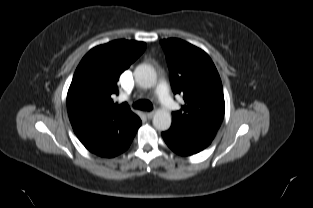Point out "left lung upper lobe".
I'll return each mask as SVG.
<instances>
[{"mask_svg": "<svg viewBox=\"0 0 313 208\" xmlns=\"http://www.w3.org/2000/svg\"><path fill=\"white\" fill-rule=\"evenodd\" d=\"M170 70L174 94L185 104L172 113L170 129L187 137L212 141L225 111L220 76L200 48L177 38L160 41Z\"/></svg>", "mask_w": 313, "mask_h": 208, "instance_id": "5c2ea615", "label": "left lung upper lobe"}]
</instances>
